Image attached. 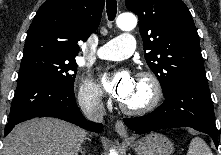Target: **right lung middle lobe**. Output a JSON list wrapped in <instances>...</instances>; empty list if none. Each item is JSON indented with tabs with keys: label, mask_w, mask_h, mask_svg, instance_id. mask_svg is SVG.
<instances>
[{
	"label": "right lung middle lobe",
	"mask_w": 221,
	"mask_h": 155,
	"mask_svg": "<svg viewBox=\"0 0 221 155\" xmlns=\"http://www.w3.org/2000/svg\"><path fill=\"white\" fill-rule=\"evenodd\" d=\"M77 63L75 58L49 53H34L22 58L17 84L32 76L48 79L64 88L73 89Z\"/></svg>",
	"instance_id": "1"
}]
</instances>
